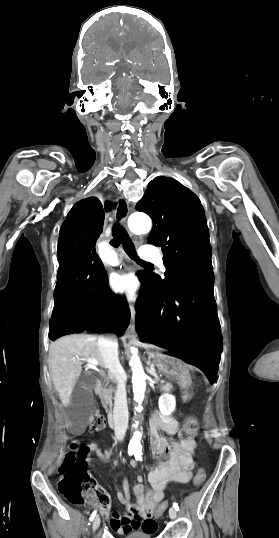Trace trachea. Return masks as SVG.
Here are the masks:
<instances>
[{
  "label": "trachea",
  "instance_id": "3493384b",
  "mask_svg": "<svg viewBox=\"0 0 279 538\" xmlns=\"http://www.w3.org/2000/svg\"><path fill=\"white\" fill-rule=\"evenodd\" d=\"M110 245L115 248L122 245L125 252L130 258H132V260H136L140 264H148L147 262L140 260V258L137 256L135 247L130 240L128 233L123 227H118L117 225L113 227V239L110 241Z\"/></svg>",
  "mask_w": 279,
  "mask_h": 538
}]
</instances>
